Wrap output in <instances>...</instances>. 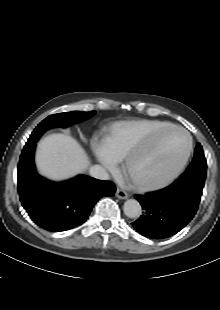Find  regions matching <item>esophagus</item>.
<instances>
[{
    "label": "esophagus",
    "mask_w": 220,
    "mask_h": 310,
    "mask_svg": "<svg viewBox=\"0 0 220 310\" xmlns=\"http://www.w3.org/2000/svg\"><path fill=\"white\" fill-rule=\"evenodd\" d=\"M116 197L119 199H127L129 197L128 193L122 189H117L115 192Z\"/></svg>",
    "instance_id": "1"
}]
</instances>
